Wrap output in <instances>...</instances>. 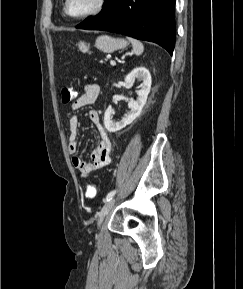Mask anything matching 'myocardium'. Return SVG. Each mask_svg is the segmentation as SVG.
Segmentation results:
<instances>
[{
  "instance_id": "myocardium-1",
  "label": "myocardium",
  "mask_w": 243,
  "mask_h": 289,
  "mask_svg": "<svg viewBox=\"0 0 243 289\" xmlns=\"http://www.w3.org/2000/svg\"><path fill=\"white\" fill-rule=\"evenodd\" d=\"M69 3H70V0H65V3H64V11L65 13L70 17V18H73V19H85V18H89V17H92V16H95L97 14H99L105 7L106 5V0H97L96 1V5L95 7L86 12V13H83V14H80V15H73L70 13L69 11Z\"/></svg>"
}]
</instances>
